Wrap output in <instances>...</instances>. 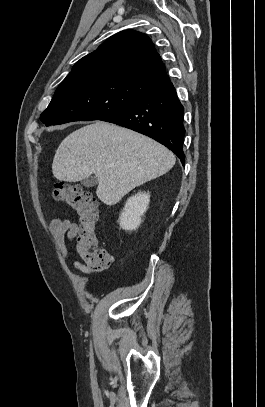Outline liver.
I'll use <instances>...</instances> for the list:
<instances>
[{
    "instance_id": "obj_1",
    "label": "liver",
    "mask_w": 265,
    "mask_h": 407,
    "mask_svg": "<svg viewBox=\"0 0 265 407\" xmlns=\"http://www.w3.org/2000/svg\"><path fill=\"white\" fill-rule=\"evenodd\" d=\"M174 154L153 139L103 121L70 133L56 150V179L78 182L94 174L99 200L109 206L172 169Z\"/></svg>"
}]
</instances>
